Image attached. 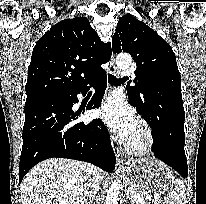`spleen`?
Returning <instances> with one entry per match:
<instances>
[{
	"label": "spleen",
	"mask_w": 206,
	"mask_h": 204,
	"mask_svg": "<svg viewBox=\"0 0 206 204\" xmlns=\"http://www.w3.org/2000/svg\"><path fill=\"white\" fill-rule=\"evenodd\" d=\"M172 181L170 182V190L165 197L166 204H184L185 185L180 179H176L173 174H170Z\"/></svg>",
	"instance_id": "spleen-1"
}]
</instances>
